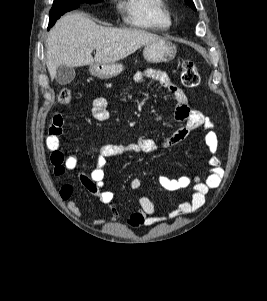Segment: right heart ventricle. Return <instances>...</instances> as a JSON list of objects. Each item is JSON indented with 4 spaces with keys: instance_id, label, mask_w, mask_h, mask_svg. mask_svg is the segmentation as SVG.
<instances>
[{
    "instance_id": "e07e8e85",
    "label": "right heart ventricle",
    "mask_w": 267,
    "mask_h": 301,
    "mask_svg": "<svg viewBox=\"0 0 267 301\" xmlns=\"http://www.w3.org/2000/svg\"><path fill=\"white\" fill-rule=\"evenodd\" d=\"M119 7L125 21L136 28L166 30L172 24L165 0H121Z\"/></svg>"
}]
</instances>
